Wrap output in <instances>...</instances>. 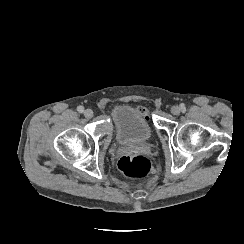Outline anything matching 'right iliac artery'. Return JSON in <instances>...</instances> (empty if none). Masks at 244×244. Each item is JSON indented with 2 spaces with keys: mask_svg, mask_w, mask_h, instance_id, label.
Instances as JSON below:
<instances>
[{
  "mask_svg": "<svg viewBox=\"0 0 244 244\" xmlns=\"http://www.w3.org/2000/svg\"><path fill=\"white\" fill-rule=\"evenodd\" d=\"M77 111H78L79 113H83V111H84V107H83V106H78V107H77Z\"/></svg>",
  "mask_w": 244,
  "mask_h": 244,
  "instance_id": "82829eb1",
  "label": "right iliac artery"
}]
</instances>
